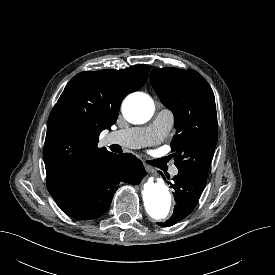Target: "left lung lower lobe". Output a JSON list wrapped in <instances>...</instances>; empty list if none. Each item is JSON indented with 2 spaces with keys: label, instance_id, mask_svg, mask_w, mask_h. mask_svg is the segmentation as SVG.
Instances as JSON below:
<instances>
[{
  "label": "left lung lower lobe",
  "instance_id": "obj_1",
  "mask_svg": "<svg viewBox=\"0 0 275 275\" xmlns=\"http://www.w3.org/2000/svg\"><path fill=\"white\" fill-rule=\"evenodd\" d=\"M162 177L165 178L163 174ZM172 180L170 185L174 189L176 206L170 219L165 223H158L160 226H172L193 211L204 190L207 177L197 171L184 169L179 170Z\"/></svg>",
  "mask_w": 275,
  "mask_h": 275
}]
</instances>
